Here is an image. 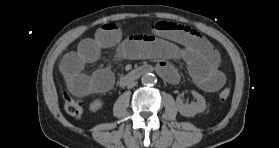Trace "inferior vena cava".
<instances>
[{"mask_svg":"<svg viewBox=\"0 0 279 148\" xmlns=\"http://www.w3.org/2000/svg\"><path fill=\"white\" fill-rule=\"evenodd\" d=\"M137 85V82L136 81H130L128 84H127V88L131 89L133 88L134 86Z\"/></svg>","mask_w":279,"mask_h":148,"instance_id":"602c4592","label":"inferior vena cava"}]
</instances>
